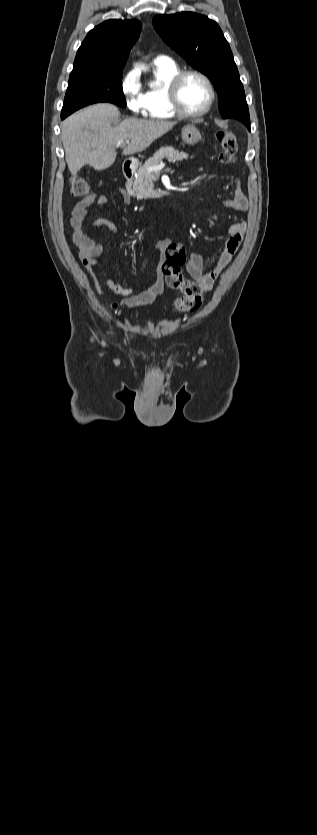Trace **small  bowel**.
Listing matches in <instances>:
<instances>
[{
  "label": "small bowel",
  "instance_id": "1",
  "mask_svg": "<svg viewBox=\"0 0 317 835\" xmlns=\"http://www.w3.org/2000/svg\"><path fill=\"white\" fill-rule=\"evenodd\" d=\"M123 200L125 203H130L131 198L129 195L123 193ZM106 203L107 198L105 196L90 193L74 206L70 219L72 241L79 249V256L83 265L94 276L98 267L97 258L103 254L104 248L101 243L87 235L85 219L90 206L104 205ZM225 204L236 211H247L248 200L239 180L234 185L232 198L227 200ZM88 226L93 228L103 227L115 235L119 234L118 226L106 218H96L90 221ZM244 230L245 228L242 223H234L229 227L228 236L219 255L217 265L214 270L208 273H204L203 271V257L198 253H192L187 256L186 248L181 243H175L168 238H164L156 243L155 248L159 254L160 264L167 259L180 260L182 264L186 262L188 275L201 286L203 291H209L213 288L216 280L237 252L243 240ZM104 284L113 293L123 297L120 302L111 304L113 308H133L147 301L149 297L161 294L164 290V278L160 271H158L155 281L143 289L125 287L114 282L108 276L104 278Z\"/></svg>",
  "mask_w": 317,
  "mask_h": 835
}]
</instances>
